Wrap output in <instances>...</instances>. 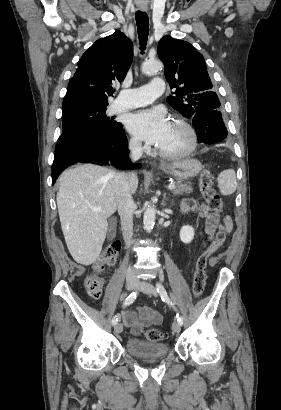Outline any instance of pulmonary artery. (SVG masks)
I'll list each match as a JSON object with an SVG mask.
<instances>
[{
  "label": "pulmonary artery",
  "instance_id": "obj_1",
  "mask_svg": "<svg viewBox=\"0 0 281 410\" xmlns=\"http://www.w3.org/2000/svg\"><path fill=\"white\" fill-rule=\"evenodd\" d=\"M165 90V83L161 78H154L149 84L134 89L120 90L114 107L126 110L139 107L154 101Z\"/></svg>",
  "mask_w": 281,
  "mask_h": 410
}]
</instances>
